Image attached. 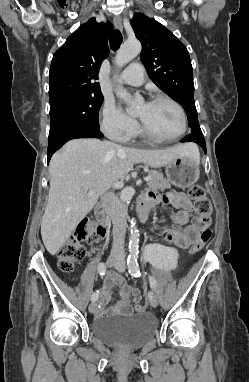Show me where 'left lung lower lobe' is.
Returning a JSON list of instances; mask_svg holds the SVG:
<instances>
[{
  "mask_svg": "<svg viewBox=\"0 0 249 382\" xmlns=\"http://www.w3.org/2000/svg\"><path fill=\"white\" fill-rule=\"evenodd\" d=\"M181 142H195L202 147L206 153V144L202 133H191L181 140Z\"/></svg>",
  "mask_w": 249,
  "mask_h": 382,
  "instance_id": "1",
  "label": "left lung lower lobe"
}]
</instances>
